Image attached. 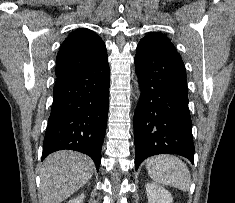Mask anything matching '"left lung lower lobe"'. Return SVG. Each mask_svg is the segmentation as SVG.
Masks as SVG:
<instances>
[{
    "label": "left lung lower lobe",
    "instance_id": "1",
    "mask_svg": "<svg viewBox=\"0 0 235 203\" xmlns=\"http://www.w3.org/2000/svg\"><path fill=\"white\" fill-rule=\"evenodd\" d=\"M141 98L134 114L135 166L172 153L193 163L186 70L179 53L161 41H140L135 56Z\"/></svg>",
    "mask_w": 235,
    "mask_h": 203
}]
</instances>
